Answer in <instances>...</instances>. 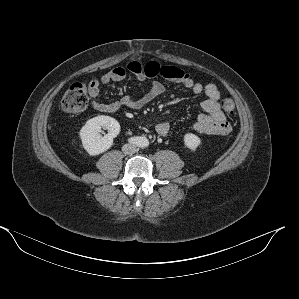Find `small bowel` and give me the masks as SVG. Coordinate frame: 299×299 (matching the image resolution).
<instances>
[{
	"instance_id": "c3829d8e",
	"label": "small bowel",
	"mask_w": 299,
	"mask_h": 299,
	"mask_svg": "<svg viewBox=\"0 0 299 299\" xmlns=\"http://www.w3.org/2000/svg\"><path fill=\"white\" fill-rule=\"evenodd\" d=\"M128 74H132L140 81L160 77L182 85L195 94H204L206 98L201 103L203 113L199 114L193 125V130L203 135H224L230 132L231 127L221 110V94L216 85H204L178 67L160 65L154 61L141 64L133 60L126 66L115 67L98 79L93 80L90 83L91 106L103 113H114L122 107L138 109L158 98L165 91L163 83L156 80L140 96L126 95L109 103L103 102L100 99V87L111 82L124 80ZM170 129L168 122H160L155 126L156 132L162 137H167L170 134Z\"/></svg>"
}]
</instances>
